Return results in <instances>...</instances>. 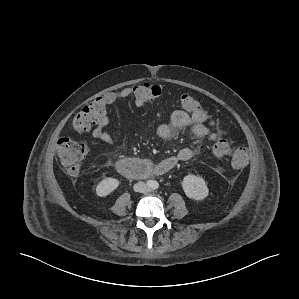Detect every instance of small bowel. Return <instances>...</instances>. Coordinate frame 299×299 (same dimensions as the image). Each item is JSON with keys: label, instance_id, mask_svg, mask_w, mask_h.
<instances>
[{"label": "small bowel", "instance_id": "c3829d8e", "mask_svg": "<svg viewBox=\"0 0 299 299\" xmlns=\"http://www.w3.org/2000/svg\"><path fill=\"white\" fill-rule=\"evenodd\" d=\"M134 95L132 88L127 87L120 91H112L106 93L102 99L106 105H111L119 100L127 99ZM135 97V96H134ZM136 106L141 107L145 103L136 98L134 100ZM208 120L207 113L199 108L193 112H185L182 110H176L172 113L170 121L162 124L158 127V136L164 140H170L175 138L181 131H188L199 141L206 139L210 135V131L206 126ZM109 124V117L105 113L99 121L96 123L95 128L92 131L93 138L109 145H113V138L107 130ZM195 150L189 147L182 148L176 155L168 157L159 163L152 164L155 169L154 175H162L172 170L179 162L188 161L195 155Z\"/></svg>", "mask_w": 299, "mask_h": 299}]
</instances>
